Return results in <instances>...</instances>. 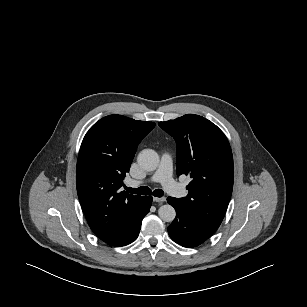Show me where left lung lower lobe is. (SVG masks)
Instances as JSON below:
<instances>
[{
	"mask_svg": "<svg viewBox=\"0 0 307 307\" xmlns=\"http://www.w3.org/2000/svg\"><path fill=\"white\" fill-rule=\"evenodd\" d=\"M167 201L176 210V218L167 228L173 241L184 247H195L206 241L214 231L193 220L180 206L176 198L168 197Z\"/></svg>",
	"mask_w": 307,
	"mask_h": 307,
	"instance_id": "left-lung-lower-lobe-1",
	"label": "left lung lower lobe"
}]
</instances>
